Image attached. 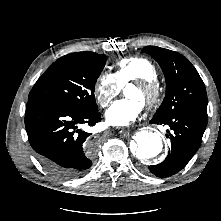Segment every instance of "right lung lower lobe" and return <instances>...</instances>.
Listing matches in <instances>:
<instances>
[{
	"label": "right lung lower lobe",
	"instance_id": "right-lung-lower-lobe-1",
	"mask_svg": "<svg viewBox=\"0 0 221 221\" xmlns=\"http://www.w3.org/2000/svg\"><path fill=\"white\" fill-rule=\"evenodd\" d=\"M101 115L83 113L39 99L28 100L25 126L30 145L44 168L63 179L82 175L92 164L96 147L81 131L82 124L94 126Z\"/></svg>",
	"mask_w": 221,
	"mask_h": 221
}]
</instances>
